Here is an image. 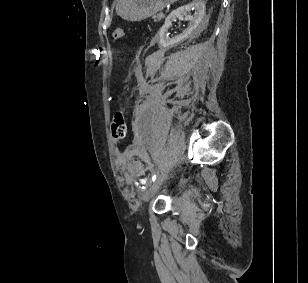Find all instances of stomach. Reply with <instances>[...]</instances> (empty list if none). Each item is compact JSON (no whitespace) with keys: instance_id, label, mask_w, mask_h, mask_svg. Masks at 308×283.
<instances>
[{"instance_id":"stomach-1","label":"stomach","mask_w":308,"mask_h":283,"mask_svg":"<svg viewBox=\"0 0 308 283\" xmlns=\"http://www.w3.org/2000/svg\"><path fill=\"white\" fill-rule=\"evenodd\" d=\"M177 0H116V13L127 21H141Z\"/></svg>"}]
</instances>
